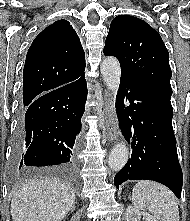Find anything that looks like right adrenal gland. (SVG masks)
<instances>
[{"instance_id":"2a0ac1e0","label":"right adrenal gland","mask_w":190,"mask_h":221,"mask_svg":"<svg viewBox=\"0 0 190 221\" xmlns=\"http://www.w3.org/2000/svg\"><path fill=\"white\" fill-rule=\"evenodd\" d=\"M75 204H76V203L73 204V206H72V208H71V212H74V210H75Z\"/></svg>"}]
</instances>
